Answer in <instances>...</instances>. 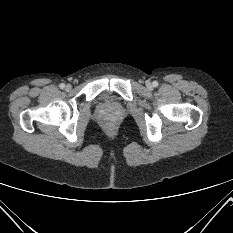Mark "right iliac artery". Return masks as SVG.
<instances>
[{
    "mask_svg": "<svg viewBox=\"0 0 233 233\" xmlns=\"http://www.w3.org/2000/svg\"><path fill=\"white\" fill-rule=\"evenodd\" d=\"M59 87H60L61 89H64V88H65V84L61 83V84L59 85Z\"/></svg>",
    "mask_w": 233,
    "mask_h": 233,
    "instance_id": "1",
    "label": "right iliac artery"
}]
</instances>
